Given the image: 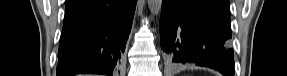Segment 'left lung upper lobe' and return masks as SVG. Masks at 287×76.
<instances>
[{
    "instance_id": "5c2ea615",
    "label": "left lung upper lobe",
    "mask_w": 287,
    "mask_h": 76,
    "mask_svg": "<svg viewBox=\"0 0 287 76\" xmlns=\"http://www.w3.org/2000/svg\"><path fill=\"white\" fill-rule=\"evenodd\" d=\"M209 2L213 6H215V7L219 8V9L229 13V6H230L229 0H209Z\"/></svg>"
}]
</instances>
